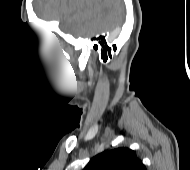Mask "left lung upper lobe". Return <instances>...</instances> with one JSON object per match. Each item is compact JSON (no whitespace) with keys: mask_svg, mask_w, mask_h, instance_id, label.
I'll list each match as a JSON object with an SVG mask.
<instances>
[{"mask_svg":"<svg viewBox=\"0 0 190 170\" xmlns=\"http://www.w3.org/2000/svg\"><path fill=\"white\" fill-rule=\"evenodd\" d=\"M83 170H146V168L133 150L120 147L96 155Z\"/></svg>","mask_w":190,"mask_h":170,"instance_id":"left-lung-upper-lobe-1","label":"left lung upper lobe"}]
</instances>
